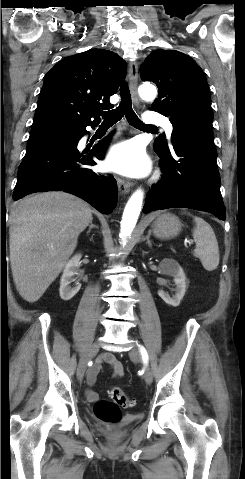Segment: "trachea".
Listing matches in <instances>:
<instances>
[{"instance_id":"3493384b","label":"trachea","mask_w":245,"mask_h":479,"mask_svg":"<svg viewBox=\"0 0 245 479\" xmlns=\"http://www.w3.org/2000/svg\"><path fill=\"white\" fill-rule=\"evenodd\" d=\"M121 101L118 107L110 111L102 112L103 122L105 125H114L122 117H126L128 123L136 128L141 129H154L155 126L145 125L136 115L132 108L131 95L129 88L126 84L122 85L120 88Z\"/></svg>"}]
</instances>
